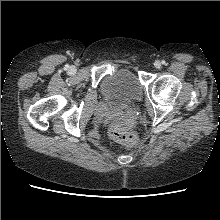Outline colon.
Here are the masks:
<instances>
[{"label": "colon", "mask_w": 220, "mask_h": 220, "mask_svg": "<svg viewBox=\"0 0 220 220\" xmlns=\"http://www.w3.org/2000/svg\"><path fill=\"white\" fill-rule=\"evenodd\" d=\"M110 133L116 141L121 142L128 147H131L136 143L135 135L119 120L112 123Z\"/></svg>", "instance_id": "colon-1"}]
</instances>
